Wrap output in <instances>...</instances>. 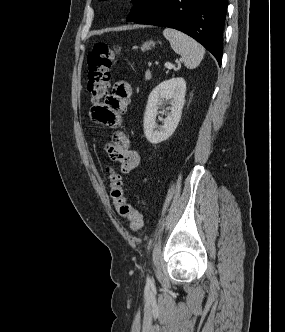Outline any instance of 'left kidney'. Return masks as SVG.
I'll list each match as a JSON object with an SVG mask.
<instances>
[{
    "instance_id": "5707ae66",
    "label": "left kidney",
    "mask_w": 285,
    "mask_h": 332,
    "mask_svg": "<svg viewBox=\"0 0 285 332\" xmlns=\"http://www.w3.org/2000/svg\"><path fill=\"white\" fill-rule=\"evenodd\" d=\"M186 82L182 77L161 82L149 95L144 114V133L152 144L167 140L179 124L185 102ZM163 100L171 101V112L164 119L163 126L157 127L155 119L158 106Z\"/></svg>"
}]
</instances>
